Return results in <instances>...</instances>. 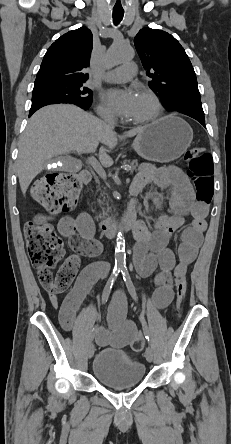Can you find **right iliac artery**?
Masks as SVG:
<instances>
[{"label": "right iliac artery", "mask_w": 231, "mask_h": 444, "mask_svg": "<svg viewBox=\"0 0 231 444\" xmlns=\"http://www.w3.org/2000/svg\"><path fill=\"white\" fill-rule=\"evenodd\" d=\"M119 272H120V268L119 267H115L113 272H112V274H111V276H110V278H109V280H108V282H107V284H106V286H105V288H104V290H103V294H102V303L103 304L107 302V300L109 298V295H110V292H111V289H112V286H113V284H114V282L116 280V277L118 276ZM93 338H94V328H93V330H92V332L90 334V337H89V342L90 343L92 342Z\"/></svg>", "instance_id": "1"}]
</instances>
